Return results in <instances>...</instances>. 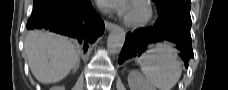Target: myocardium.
Instances as JSON below:
<instances>
[{
  "label": "myocardium",
  "mask_w": 228,
  "mask_h": 90,
  "mask_svg": "<svg viewBox=\"0 0 228 90\" xmlns=\"http://www.w3.org/2000/svg\"><path fill=\"white\" fill-rule=\"evenodd\" d=\"M134 4L142 5L145 9V15L141 19H138V20H133V19L129 18L127 15H125L124 23L127 26L134 27V28L143 27L152 20L153 14H154L153 8H152L150 2L147 0H133L130 2V6L134 5Z\"/></svg>",
  "instance_id": "1"
}]
</instances>
